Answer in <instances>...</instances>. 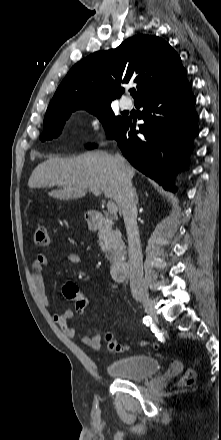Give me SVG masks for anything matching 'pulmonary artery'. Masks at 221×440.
I'll return each mask as SVG.
<instances>
[{"label": "pulmonary artery", "instance_id": "1", "mask_svg": "<svg viewBox=\"0 0 221 440\" xmlns=\"http://www.w3.org/2000/svg\"><path fill=\"white\" fill-rule=\"evenodd\" d=\"M120 107L123 110H129L132 107V101L129 98H122L120 100Z\"/></svg>", "mask_w": 221, "mask_h": 440}]
</instances>
